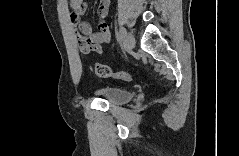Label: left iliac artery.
I'll return each mask as SVG.
<instances>
[{
  "label": "left iliac artery",
  "mask_w": 239,
  "mask_h": 156,
  "mask_svg": "<svg viewBox=\"0 0 239 156\" xmlns=\"http://www.w3.org/2000/svg\"><path fill=\"white\" fill-rule=\"evenodd\" d=\"M125 36V29L122 27L119 32L118 40L121 42L124 39Z\"/></svg>",
  "instance_id": "left-iliac-artery-1"
}]
</instances>
